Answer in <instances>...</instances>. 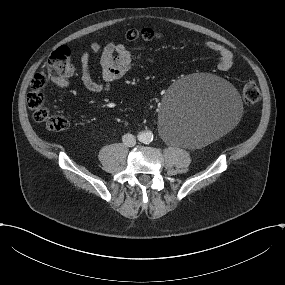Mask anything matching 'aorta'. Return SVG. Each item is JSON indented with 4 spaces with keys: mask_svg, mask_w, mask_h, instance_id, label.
<instances>
[{
    "mask_svg": "<svg viewBox=\"0 0 285 285\" xmlns=\"http://www.w3.org/2000/svg\"><path fill=\"white\" fill-rule=\"evenodd\" d=\"M139 140L145 144L153 140V133L151 131H144L141 133Z\"/></svg>",
    "mask_w": 285,
    "mask_h": 285,
    "instance_id": "762f6f07",
    "label": "aorta"
}]
</instances>
